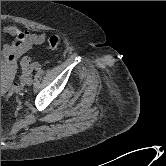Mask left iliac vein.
<instances>
[{
    "label": "left iliac vein",
    "instance_id": "left-iliac-vein-1",
    "mask_svg": "<svg viewBox=\"0 0 166 166\" xmlns=\"http://www.w3.org/2000/svg\"><path fill=\"white\" fill-rule=\"evenodd\" d=\"M33 83V78L32 77H28L26 80H25V84L27 86H31Z\"/></svg>",
    "mask_w": 166,
    "mask_h": 166
}]
</instances>
